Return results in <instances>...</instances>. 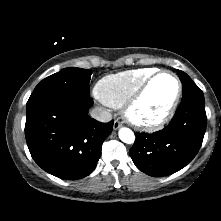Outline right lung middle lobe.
Instances as JSON below:
<instances>
[{"label": "right lung middle lobe", "mask_w": 221, "mask_h": 221, "mask_svg": "<svg viewBox=\"0 0 221 221\" xmlns=\"http://www.w3.org/2000/svg\"><path fill=\"white\" fill-rule=\"evenodd\" d=\"M92 71L69 67L43 79L34 89L27 104L36 102L56 93L85 92L89 93V82Z\"/></svg>", "instance_id": "obj_1"}]
</instances>
